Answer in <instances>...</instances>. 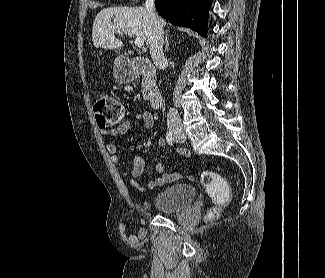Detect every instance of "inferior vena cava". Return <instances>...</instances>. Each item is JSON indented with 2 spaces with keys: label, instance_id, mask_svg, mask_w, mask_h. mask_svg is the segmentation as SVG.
<instances>
[{
  "label": "inferior vena cava",
  "instance_id": "1",
  "mask_svg": "<svg viewBox=\"0 0 325 278\" xmlns=\"http://www.w3.org/2000/svg\"><path fill=\"white\" fill-rule=\"evenodd\" d=\"M145 8L149 17L151 19V23L153 26V33L150 43V54L154 64L161 68L166 65L167 61L163 54V42H164V30L160 22L158 21L156 12H155V1L154 0H146ZM167 122L180 124L181 119L178 114V111L175 108H170L167 114Z\"/></svg>",
  "mask_w": 325,
  "mask_h": 278
}]
</instances>
